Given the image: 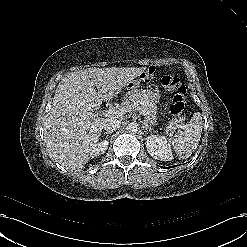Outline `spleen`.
Returning <instances> with one entry per match:
<instances>
[{
  "label": "spleen",
  "instance_id": "spleen-1",
  "mask_svg": "<svg viewBox=\"0 0 247 247\" xmlns=\"http://www.w3.org/2000/svg\"><path fill=\"white\" fill-rule=\"evenodd\" d=\"M202 129V116L201 113L197 112L194 113L184 131H178L174 135L172 144L176 154L181 159L189 158L192 152L197 149L201 138Z\"/></svg>",
  "mask_w": 247,
  "mask_h": 247
}]
</instances>
